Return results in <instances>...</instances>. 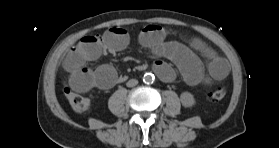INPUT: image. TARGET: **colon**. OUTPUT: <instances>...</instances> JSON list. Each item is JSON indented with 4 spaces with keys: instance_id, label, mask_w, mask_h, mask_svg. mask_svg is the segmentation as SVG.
<instances>
[{
    "instance_id": "1",
    "label": "colon",
    "mask_w": 279,
    "mask_h": 148,
    "mask_svg": "<svg viewBox=\"0 0 279 148\" xmlns=\"http://www.w3.org/2000/svg\"><path fill=\"white\" fill-rule=\"evenodd\" d=\"M226 95V88L225 87H218L212 90L209 93V99L212 101H220ZM66 96L70 103L71 108L76 113H86L90 108V100L78 93L72 92L70 90H66Z\"/></svg>"
}]
</instances>
